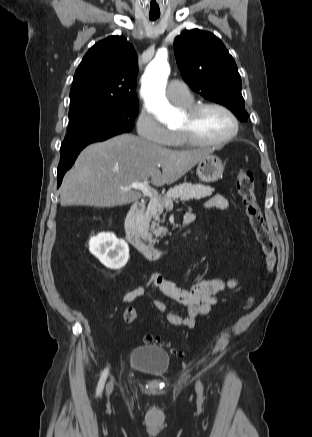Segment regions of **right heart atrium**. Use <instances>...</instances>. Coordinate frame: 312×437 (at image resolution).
<instances>
[{
  "mask_svg": "<svg viewBox=\"0 0 312 437\" xmlns=\"http://www.w3.org/2000/svg\"><path fill=\"white\" fill-rule=\"evenodd\" d=\"M138 134L145 140L158 145H169L173 132L164 127L155 115L142 109L136 122Z\"/></svg>",
  "mask_w": 312,
  "mask_h": 437,
  "instance_id": "right-heart-atrium-1",
  "label": "right heart atrium"
}]
</instances>
